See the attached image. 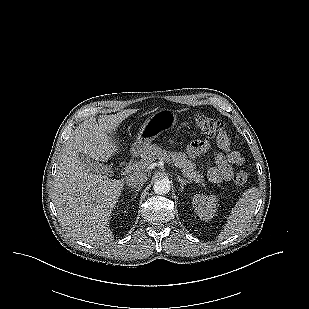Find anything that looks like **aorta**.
Masks as SVG:
<instances>
[{
	"mask_svg": "<svg viewBox=\"0 0 309 309\" xmlns=\"http://www.w3.org/2000/svg\"><path fill=\"white\" fill-rule=\"evenodd\" d=\"M153 190L158 195H165L170 191V184L167 180H157L154 183Z\"/></svg>",
	"mask_w": 309,
	"mask_h": 309,
	"instance_id": "1",
	"label": "aorta"
}]
</instances>
